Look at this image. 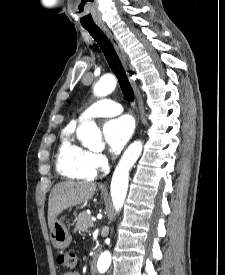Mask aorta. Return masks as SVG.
<instances>
[{"label":"aorta","instance_id":"aorta-1","mask_svg":"<svg viewBox=\"0 0 225 275\" xmlns=\"http://www.w3.org/2000/svg\"><path fill=\"white\" fill-rule=\"evenodd\" d=\"M117 80L112 74H106L94 85L93 92L98 97L112 93ZM77 137L85 147L96 150L103 146L101 132L94 121L82 122L77 128ZM143 143L133 142L124 152L113 173L111 181V197L115 210H121L128 190L129 172L141 155ZM111 264V253L104 251L97 262V270L104 274Z\"/></svg>","mask_w":225,"mask_h":275}]
</instances>
